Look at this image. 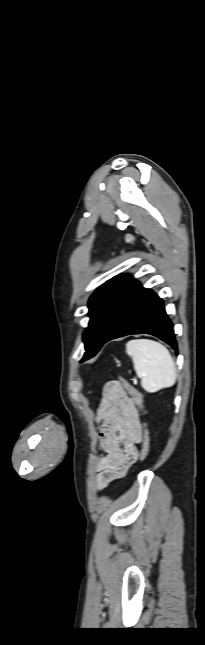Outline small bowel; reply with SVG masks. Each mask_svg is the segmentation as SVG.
Returning <instances> with one entry per match:
<instances>
[{"label":"small bowel","instance_id":"obj_1","mask_svg":"<svg viewBox=\"0 0 205 645\" xmlns=\"http://www.w3.org/2000/svg\"><path fill=\"white\" fill-rule=\"evenodd\" d=\"M98 444L105 452L95 462L96 487L105 489L125 476L138 457V444L142 439L139 414L132 399L122 390L111 389L107 384L98 410Z\"/></svg>","mask_w":205,"mask_h":645}]
</instances>
